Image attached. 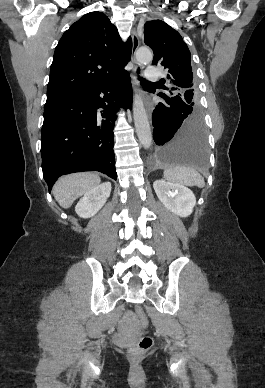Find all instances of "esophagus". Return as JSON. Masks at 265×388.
<instances>
[{
    "instance_id": "1",
    "label": "esophagus",
    "mask_w": 265,
    "mask_h": 388,
    "mask_svg": "<svg viewBox=\"0 0 265 388\" xmlns=\"http://www.w3.org/2000/svg\"><path fill=\"white\" fill-rule=\"evenodd\" d=\"M139 44H140V41H139V38L137 36V33H136V30L133 29L132 30V61L134 62V69H133V72L135 74H141L143 72V67L139 64V63H136L135 62V54H136V51L139 47ZM132 81H133V84L136 85L137 84V81L135 79V77L132 75ZM146 108H147V112H148V117L151 121V118H152V108L149 107V105H146Z\"/></svg>"
}]
</instances>
